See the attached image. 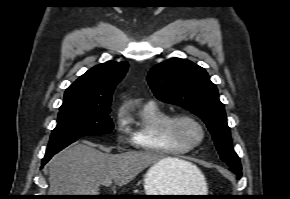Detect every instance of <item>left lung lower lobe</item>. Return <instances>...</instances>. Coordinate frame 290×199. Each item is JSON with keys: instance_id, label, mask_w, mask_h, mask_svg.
Segmentation results:
<instances>
[{"instance_id": "0a47b994", "label": "left lung lower lobe", "mask_w": 290, "mask_h": 199, "mask_svg": "<svg viewBox=\"0 0 290 199\" xmlns=\"http://www.w3.org/2000/svg\"><path fill=\"white\" fill-rule=\"evenodd\" d=\"M229 170L234 172L238 176V179L241 178V176H242L241 167L240 168L239 167H229Z\"/></svg>"}]
</instances>
